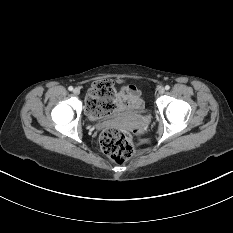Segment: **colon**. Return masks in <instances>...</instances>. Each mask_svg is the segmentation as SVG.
<instances>
[{
    "label": "colon",
    "instance_id": "5ec220e1",
    "mask_svg": "<svg viewBox=\"0 0 233 233\" xmlns=\"http://www.w3.org/2000/svg\"><path fill=\"white\" fill-rule=\"evenodd\" d=\"M86 105L89 114L94 118L116 110L117 96L112 82L101 80L94 83ZM100 145L105 155L117 163L127 161L134 154L130 132L119 127L104 130L100 135Z\"/></svg>",
    "mask_w": 233,
    "mask_h": 233
}]
</instances>
